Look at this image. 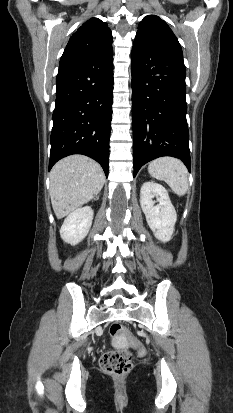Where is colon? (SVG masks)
Instances as JSON below:
<instances>
[{
  "mask_svg": "<svg viewBox=\"0 0 233 413\" xmlns=\"http://www.w3.org/2000/svg\"><path fill=\"white\" fill-rule=\"evenodd\" d=\"M124 332L125 329L118 323H114L110 326V333L113 336ZM133 346L138 351L139 355L143 356L146 354V349L140 342L133 341ZM100 367L107 374L123 376L132 368V356L128 351L107 350L100 358Z\"/></svg>",
  "mask_w": 233,
  "mask_h": 413,
  "instance_id": "colon-1",
  "label": "colon"
}]
</instances>
